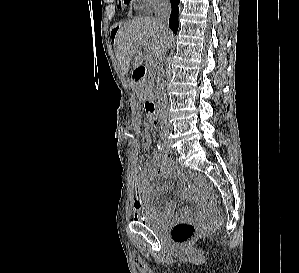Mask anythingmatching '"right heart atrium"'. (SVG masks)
<instances>
[{
  "instance_id": "right-heart-atrium-1",
  "label": "right heart atrium",
  "mask_w": 299,
  "mask_h": 273,
  "mask_svg": "<svg viewBox=\"0 0 299 273\" xmlns=\"http://www.w3.org/2000/svg\"><path fill=\"white\" fill-rule=\"evenodd\" d=\"M164 1L166 0H135L138 8L144 10L152 9Z\"/></svg>"
}]
</instances>
